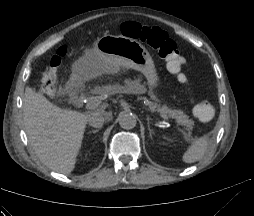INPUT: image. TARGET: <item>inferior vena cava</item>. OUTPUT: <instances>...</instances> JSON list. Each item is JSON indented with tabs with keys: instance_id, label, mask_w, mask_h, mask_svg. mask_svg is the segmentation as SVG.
Instances as JSON below:
<instances>
[{
	"instance_id": "obj_1",
	"label": "inferior vena cava",
	"mask_w": 254,
	"mask_h": 216,
	"mask_svg": "<svg viewBox=\"0 0 254 216\" xmlns=\"http://www.w3.org/2000/svg\"><path fill=\"white\" fill-rule=\"evenodd\" d=\"M106 117L100 113H94L92 116L89 117L88 122L89 125L95 128H100L106 121Z\"/></svg>"
}]
</instances>
